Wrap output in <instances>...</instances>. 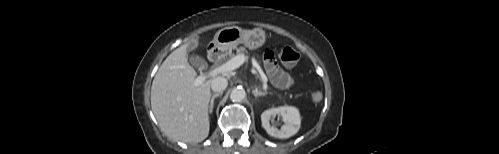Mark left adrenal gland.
I'll use <instances>...</instances> for the list:
<instances>
[{"instance_id":"obj_1","label":"left adrenal gland","mask_w":499,"mask_h":154,"mask_svg":"<svg viewBox=\"0 0 499 154\" xmlns=\"http://www.w3.org/2000/svg\"><path fill=\"white\" fill-rule=\"evenodd\" d=\"M252 93L255 96V98H257L258 96H265V95H267L266 91L262 92V91H259L257 88H255L254 90H252Z\"/></svg>"}]
</instances>
